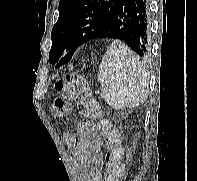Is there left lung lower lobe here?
Segmentation results:
<instances>
[{
  "mask_svg": "<svg viewBox=\"0 0 197 181\" xmlns=\"http://www.w3.org/2000/svg\"><path fill=\"white\" fill-rule=\"evenodd\" d=\"M149 33L148 0H115L103 19L96 38L121 40L143 57L149 54Z\"/></svg>",
  "mask_w": 197,
  "mask_h": 181,
  "instance_id": "left-lung-lower-lobe-1",
  "label": "left lung lower lobe"
}]
</instances>
